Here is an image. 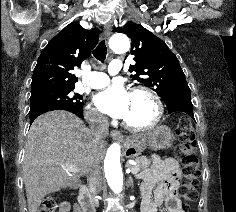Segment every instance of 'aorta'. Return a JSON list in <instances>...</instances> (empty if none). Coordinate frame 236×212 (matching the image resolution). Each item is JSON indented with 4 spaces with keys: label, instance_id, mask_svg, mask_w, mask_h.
<instances>
[{
    "label": "aorta",
    "instance_id": "762f6f07",
    "mask_svg": "<svg viewBox=\"0 0 236 212\" xmlns=\"http://www.w3.org/2000/svg\"><path fill=\"white\" fill-rule=\"evenodd\" d=\"M109 46L114 53L121 54L129 51L130 41L123 33L114 34L109 41ZM121 147L113 143L107 150L104 170L107 183L115 194H120L123 187V174L120 164Z\"/></svg>",
    "mask_w": 236,
    "mask_h": 212
}]
</instances>
